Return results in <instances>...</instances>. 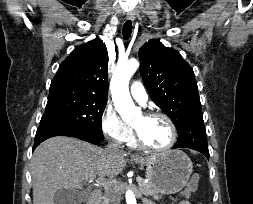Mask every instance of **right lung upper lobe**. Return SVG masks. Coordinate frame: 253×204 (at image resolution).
<instances>
[{
  "mask_svg": "<svg viewBox=\"0 0 253 204\" xmlns=\"http://www.w3.org/2000/svg\"><path fill=\"white\" fill-rule=\"evenodd\" d=\"M108 53L96 38L76 47L61 63L50 87H71L107 99Z\"/></svg>",
  "mask_w": 253,
  "mask_h": 204,
  "instance_id": "obj_1",
  "label": "right lung upper lobe"
}]
</instances>
